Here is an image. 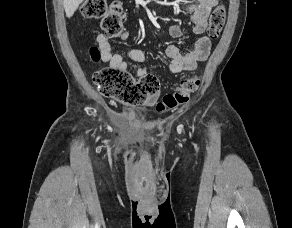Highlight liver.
Instances as JSON below:
<instances>
[{
    "label": "liver",
    "mask_w": 292,
    "mask_h": 228,
    "mask_svg": "<svg viewBox=\"0 0 292 228\" xmlns=\"http://www.w3.org/2000/svg\"><path fill=\"white\" fill-rule=\"evenodd\" d=\"M83 0H63L64 9L68 18L72 17Z\"/></svg>",
    "instance_id": "obj_1"
}]
</instances>
